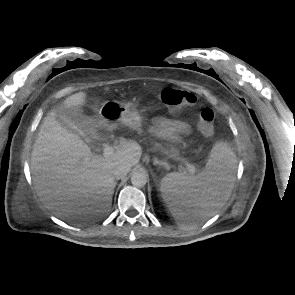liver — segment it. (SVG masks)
<instances>
[{
  "mask_svg": "<svg viewBox=\"0 0 295 295\" xmlns=\"http://www.w3.org/2000/svg\"><path fill=\"white\" fill-rule=\"evenodd\" d=\"M86 93L66 98L62 107L78 111ZM93 138L96 131L91 130ZM142 150L135 141L121 144L110 157L91 152L90 147L63 128L55 111L44 118L31 153L35 190L45 206L60 218L85 217L111 207L116 186L113 170L118 164L136 165Z\"/></svg>",
  "mask_w": 295,
  "mask_h": 295,
  "instance_id": "obj_1",
  "label": "liver"
}]
</instances>
